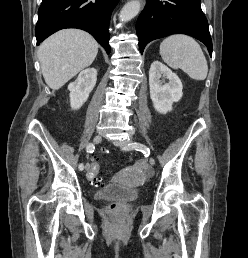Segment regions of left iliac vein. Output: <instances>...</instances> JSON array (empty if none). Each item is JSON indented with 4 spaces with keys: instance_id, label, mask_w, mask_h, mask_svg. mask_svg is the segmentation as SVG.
Masks as SVG:
<instances>
[{
    "instance_id": "left-iliac-vein-1",
    "label": "left iliac vein",
    "mask_w": 248,
    "mask_h": 258,
    "mask_svg": "<svg viewBox=\"0 0 248 258\" xmlns=\"http://www.w3.org/2000/svg\"><path fill=\"white\" fill-rule=\"evenodd\" d=\"M133 143L134 142L130 141V140H116V141L113 142V144L115 146H118V147H121V148H127V150L134 149V148H129V144H133ZM154 164H155L154 158L150 157V159H149L150 167H153Z\"/></svg>"
}]
</instances>
